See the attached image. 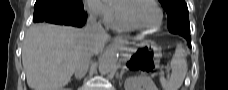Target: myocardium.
Instances as JSON below:
<instances>
[{
  "mask_svg": "<svg viewBox=\"0 0 228 90\" xmlns=\"http://www.w3.org/2000/svg\"><path fill=\"white\" fill-rule=\"evenodd\" d=\"M137 1H140V0H124L118 6V16H119V19L121 20V22L123 23V25L126 28H128L129 30H135V31H140V32H144V33H154V32L159 31L164 22V15H163V11H162L161 7L159 6L158 2L155 0H147V1L151 2L156 7V9L159 13V22L156 27L151 28V29L143 28V27H139V26L133 24L130 20H128V18L125 15V9L128 5H130L131 3L137 2Z\"/></svg>",
  "mask_w": 228,
  "mask_h": 90,
  "instance_id": "1",
  "label": "myocardium"
}]
</instances>
